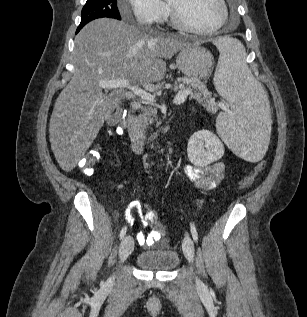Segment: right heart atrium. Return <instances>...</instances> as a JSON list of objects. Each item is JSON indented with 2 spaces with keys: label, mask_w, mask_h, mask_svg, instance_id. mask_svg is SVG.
Returning a JSON list of instances; mask_svg holds the SVG:
<instances>
[{
  "label": "right heart atrium",
  "mask_w": 307,
  "mask_h": 317,
  "mask_svg": "<svg viewBox=\"0 0 307 317\" xmlns=\"http://www.w3.org/2000/svg\"><path fill=\"white\" fill-rule=\"evenodd\" d=\"M129 7L120 6L121 15L131 14L135 21L145 27L163 22L168 16V7L162 0H128Z\"/></svg>",
  "instance_id": "d8ad5b80"
}]
</instances>
